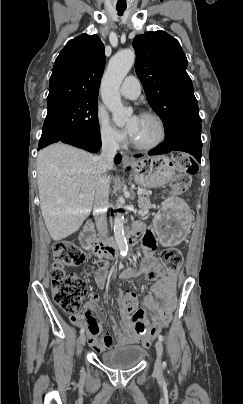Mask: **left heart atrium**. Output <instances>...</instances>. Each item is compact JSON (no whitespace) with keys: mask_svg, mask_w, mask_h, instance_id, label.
Listing matches in <instances>:
<instances>
[{"mask_svg":"<svg viewBox=\"0 0 243 404\" xmlns=\"http://www.w3.org/2000/svg\"><path fill=\"white\" fill-rule=\"evenodd\" d=\"M139 120H140V116L134 115V116L130 119L129 123H128L127 126H126V131H127V133H128L131 137H132V136L134 135V133L136 132V129H137V127H138Z\"/></svg>","mask_w":243,"mask_h":404,"instance_id":"39dd6f15","label":"left heart atrium"}]
</instances>
